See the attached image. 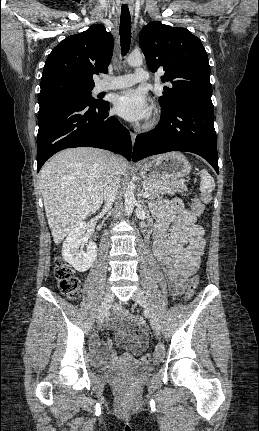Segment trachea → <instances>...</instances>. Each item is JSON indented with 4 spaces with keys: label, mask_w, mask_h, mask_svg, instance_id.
Listing matches in <instances>:
<instances>
[{
    "label": "trachea",
    "mask_w": 259,
    "mask_h": 431,
    "mask_svg": "<svg viewBox=\"0 0 259 431\" xmlns=\"http://www.w3.org/2000/svg\"><path fill=\"white\" fill-rule=\"evenodd\" d=\"M120 41L122 55H126L131 43V16L127 5L121 8Z\"/></svg>",
    "instance_id": "3493384b"
}]
</instances>
